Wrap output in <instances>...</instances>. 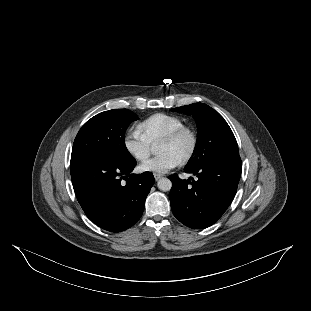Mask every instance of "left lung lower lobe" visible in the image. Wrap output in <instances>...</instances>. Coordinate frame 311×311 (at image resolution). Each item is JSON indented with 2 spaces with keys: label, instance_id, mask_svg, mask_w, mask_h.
I'll use <instances>...</instances> for the list:
<instances>
[{
  "label": "left lung lower lobe",
  "instance_id": "obj_1",
  "mask_svg": "<svg viewBox=\"0 0 311 311\" xmlns=\"http://www.w3.org/2000/svg\"><path fill=\"white\" fill-rule=\"evenodd\" d=\"M184 171L198 179L169 176L173 214L190 228H207L222 216L235 197L242 171L240 156L219 158L195 168L185 167Z\"/></svg>",
  "mask_w": 311,
  "mask_h": 311
}]
</instances>
